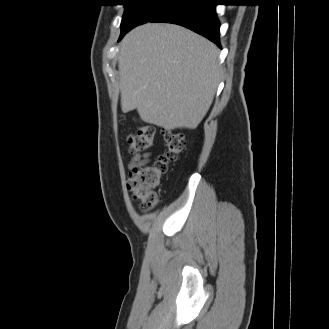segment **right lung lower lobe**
Here are the masks:
<instances>
[{
  "instance_id": "right-lung-lower-lobe-1",
  "label": "right lung lower lobe",
  "mask_w": 329,
  "mask_h": 329,
  "mask_svg": "<svg viewBox=\"0 0 329 329\" xmlns=\"http://www.w3.org/2000/svg\"><path fill=\"white\" fill-rule=\"evenodd\" d=\"M215 1L217 0H176L165 6L149 22L184 26L220 46V23L215 12Z\"/></svg>"
}]
</instances>
